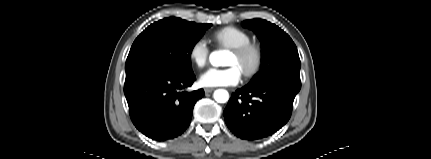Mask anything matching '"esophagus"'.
<instances>
[{
  "instance_id": "esophagus-1",
  "label": "esophagus",
  "mask_w": 431,
  "mask_h": 159,
  "mask_svg": "<svg viewBox=\"0 0 431 159\" xmlns=\"http://www.w3.org/2000/svg\"><path fill=\"white\" fill-rule=\"evenodd\" d=\"M204 91L205 93H211L212 91H214V88H205Z\"/></svg>"
}]
</instances>
